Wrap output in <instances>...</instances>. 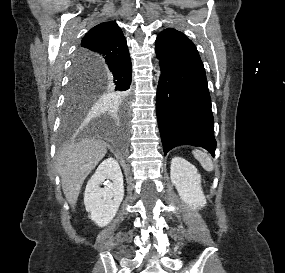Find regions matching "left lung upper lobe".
<instances>
[{"instance_id":"5c2ea615","label":"left lung upper lobe","mask_w":285,"mask_h":273,"mask_svg":"<svg viewBox=\"0 0 285 273\" xmlns=\"http://www.w3.org/2000/svg\"><path fill=\"white\" fill-rule=\"evenodd\" d=\"M166 30H174V29H172V28H168V29H166ZM166 30H164V31H166Z\"/></svg>"}]
</instances>
